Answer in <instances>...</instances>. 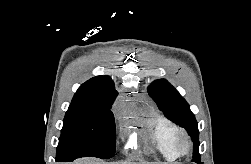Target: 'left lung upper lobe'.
I'll return each mask as SVG.
<instances>
[{
    "mask_svg": "<svg viewBox=\"0 0 251 164\" xmlns=\"http://www.w3.org/2000/svg\"><path fill=\"white\" fill-rule=\"evenodd\" d=\"M149 95L156 102L164 115L178 121L191 136L194 142L193 162L202 164L199 155V131L197 121L188 103L179 92L165 79L154 81L148 87Z\"/></svg>",
    "mask_w": 251,
    "mask_h": 164,
    "instance_id": "left-lung-upper-lobe-1",
    "label": "left lung upper lobe"
}]
</instances>
